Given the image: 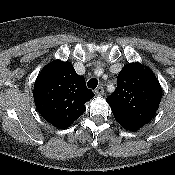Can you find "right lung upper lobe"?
Returning a JSON list of instances; mask_svg holds the SVG:
<instances>
[{"mask_svg":"<svg viewBox=\"0 0 175 175\" xmlns=\"http://www.w3.org/2000/svg\"><path fill=\"white\" fill-rule=\"evenodd\" d=\"M34 101L41 116L59 129L68 128L94 97L85 79L70 62L54 60L46 65L34 84Z\"/></svg>","mask_w":175,"mask_h":175,"instance_id":"right-lung-upper-lobe-1","label":"right lung upper lobe"}]
</instances>
